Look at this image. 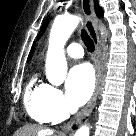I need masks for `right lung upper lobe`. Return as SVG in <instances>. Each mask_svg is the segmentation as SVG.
<instances>
[{"mask_svg":"<svg viewBox=\"0 0 136 136\" xmlns=\"http://www.w3.org/2000/svg\"><path fill=\"white\" fill-rule=\"evenodd\" d=\"M33 52H34V46H33L32 50H31V52H30V54H29L28 61L31 59V57H32V55H33Z\"/></svg>","mask_w":136,"mask_h":136,"instance_id":"1","label":"right lung upper lobe"}]
</instances>
